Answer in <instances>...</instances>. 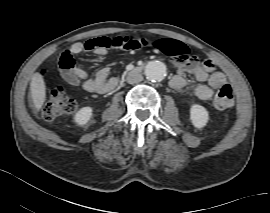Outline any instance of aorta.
I'll return each mask as SVG.
<instances>
[{
  "label": "aorta",
  "instance_id": "762f6f07",
  "mask_svg": "<svg viewBox=\"0 0 270 213\" xmlns=\"http://www.w3.org/2000/svg\"><path fill=\"white\" fill-rule=\"evenodd\" d=\"M145 75L151 82H161L166 76V67L159 61L150 62L145 68Z\"/></svg>",
  "mask_w": 270,
  "mask_h": 213
}]
</instances>
